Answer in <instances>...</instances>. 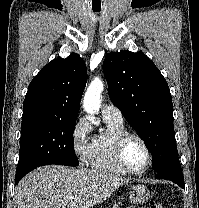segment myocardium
I'll return each instance as SVG.
<instances>
[{
  "label": "myocardium",
  "instance_id": "f54148a6",
  "mask_svg": "<svg viewBox=\"0 0 199 208\" xmlns=\"http://www.w3.org/2000/svg\"><path fill=\"white\" fill-rule=\"evenodd\" d=\"M131 138L137 139L139 142H141V144L143 145L147 153V161L144 164V166L141 167L140 169L130 168L124 159V147L127 141ZM114 157H115L117 164L129 174H141L145 172L152 163V152L147 141L141 135L137 133H133V132H128V131L121 134L115 141Z\"/></svg>",
  "mask_w": 199,
  "mask_h": 208
}]
</instances>
